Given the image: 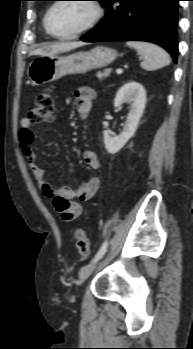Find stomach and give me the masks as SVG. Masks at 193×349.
I'll return each mask as SVG.
<instances>
[{"label": "stomach", "mask_w": 193, "mask_h": 349, "mask_svg": "<svg viewBox=\"0 0 193 349\" xmlns=\"http://www.w3.org/2000/svg\"><path fill=\"white\" fill-rule=\"evenodd\" d=\"M118 56L115 49L98 46L90 51H80L66 56H42L34 59L28 67L32 85L40 86L65 75L84 74L111 64Z\"/></svg>", "instance_id": "obj_1"}]
</instances>
